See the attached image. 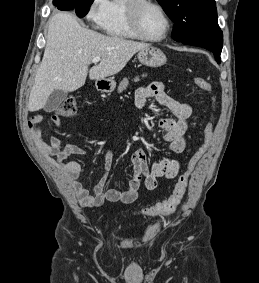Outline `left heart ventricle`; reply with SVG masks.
I'll return each instance as SVG.
<instances>
[{"instance_id":"left-heart-ventricle-1","label":"left heart ventricle","mask_w":259,"mask_h":283,"mask_svg":"<svg viewBox=\"0 0 259 283\" xmlns=\"http://www.w3.org/2000/svg\"><path fill=\"white\" fill-rule=\"evenodd\" d=\"M141 25L144 33L152 38L162 37L167 29L163 14L154 7H146L141 14Z\"/></svg>"}]
</instances>
